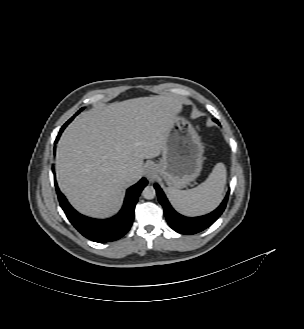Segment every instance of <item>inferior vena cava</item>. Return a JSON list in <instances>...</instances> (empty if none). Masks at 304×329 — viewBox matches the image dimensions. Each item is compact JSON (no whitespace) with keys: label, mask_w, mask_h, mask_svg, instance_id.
Instances as JSON below:
<instances>
[{"label":"inferior vena cava","mask_w":304,"mask_h":329,"mask_svg":"<svg viewBox=\"0 0 304 329\" xmlns=\"http://www.w3.org/2000/svg\"><path fill=\"white\" fill-rule=\"evenodd\" d=\"M120 173H121V175H122L123 178H127L130 175V173H131V169L128 168V167H122L120 169Z\"/></svg>","instance_id":"obj_1"}]
</instances>
